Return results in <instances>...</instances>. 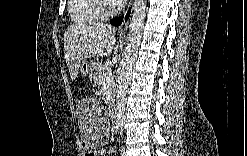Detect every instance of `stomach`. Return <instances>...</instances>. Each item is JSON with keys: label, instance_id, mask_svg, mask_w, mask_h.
<instances>
[{"label": "stomach", "instance_id": "stomach-1", "mask_svg": "<svg viewBox=\"0 0 247 156\" xmlns=\"http://www.w3.org/2000/svg\"><path fill=\"white\" fill-rule=\"evenodd\" d=\"M96 67H97V63L89 65L88 62L86 60H84V61L81 62L80 70H81V72L83 74L90 73V75L92 77H94L95 71H96Z\"/></svg>", "mask_w": 247, "mask_h": 156}]
</instances>
